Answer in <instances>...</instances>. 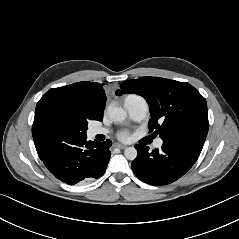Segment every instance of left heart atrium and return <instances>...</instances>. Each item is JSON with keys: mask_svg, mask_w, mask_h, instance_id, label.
I'll return each mask as SVG.
<instances>
[{"mask_svg": "<svg viewBox=\"0 0 239 239\" xmlns=\"http://www.w3.org/2000/svg\"><path fill=\"white\" fill-rule=\"evenodd\" d=\"M118 137L121 140H128L129 137H130V134H129V132L127 130H122V131L119 132Z\"/></svg>", "mask_w": 239, "mask_h": 239, "instance_id": "1", "label": "left heart atrium"}]
</instances>
